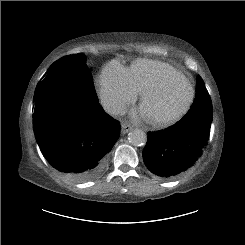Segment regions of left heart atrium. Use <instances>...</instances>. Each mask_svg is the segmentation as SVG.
I'll return each instance as SVG.
<instances>
[{"mask_svg": "<svg viewBox=\"0 0 245 245\" xmlns=\"http://www.w3.org/2000/svg\"><path fill=\"white\" fill-rule=\"evenodd\" d=\"M140 115H143L142 112H140V111H134V112L132 113V117H134V118H136V117H138V116H140Z\"/></svg>", "mask_w": 245, "mask_h": 245, "instance_id": "39dd6f15", "label": "left heart atrium"}]
</instances>
